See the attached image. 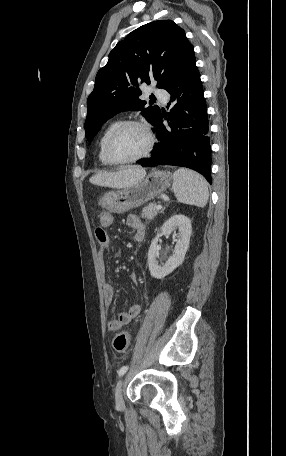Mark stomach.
<instances>
[{
  "label": "stomach",
  "mask_w": 286,
  "mask_h": 456,
  "mask_svg": "<svg viewBox=\"0 0 286 456\" xmlns=\"http://www.w3.org/2000/svg\"><path fill=\"white\" fill-rule=\"evenodd\" d=\"M172 174L153 170L137 184L119 191L106 193L98 204L113 213H125L164 192L170 185Z\"/></svg>",
  "instance_id": "obj_1"
}]
</instances>
